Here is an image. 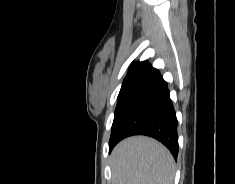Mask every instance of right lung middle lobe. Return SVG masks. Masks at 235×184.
I'll return each instance as SVG.
<instances>
[{
	"label": "right lung middle lobe",
	"mask_w": 235,
	"mask_h": 184,
	"mask_svg": "<svg viewBox=\"0 0 235 184\" xmlns=\"http://www.w3.org/2000/svg\"><path fill=\"white\" fill-rule=\"evenodd\" d=\"M123 91H120L119 95H118V102H117V105L119 104L121 98H122V95H123Z\"/></svg>",
	"instance_id": "dd1d6c3e"
}]
</instances>
